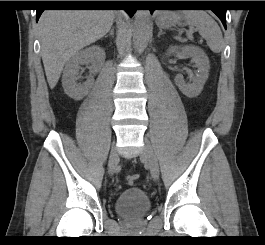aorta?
Masks as SVG:
<instances>
[{
	"label": "aorta",
	"mask_w": 265,
	"mask_h": 245,
	"mask_svg": "<svg viewBox=\"0 0 265 245\" xmlns=\"http://www.w3.org/2000/svg\"><path fill=\"white\" fill-rule=\"evenodd\" d=\"M150 28L149 10H137L134 22V44L140 50L147 44Z\"/></svg>",
	"instance_id": "762f6f07"
}]
</instances>
